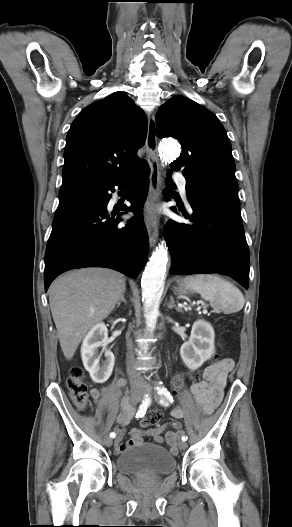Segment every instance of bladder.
Here are the masks:
<instances>
[{"instance_id": "obj_1", "label": "bladder", "mask_w": 292, "mask_h": 527, "mask_svg": "<svg viewBox=\"0 0 292 527\" xmlns=\"http://www.w3.org/2000/svg\"><path fill=\"white\" fill-rule=\"evenodd\" d=\"M115 466L122 474L157 477L172 473L176 468V459L164 446L140 443L122 451L116 458Z\"/></svg>"}]
</instances>
